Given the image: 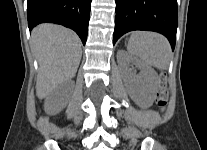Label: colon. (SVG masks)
Segmentation results:
<instances>
[{"instance_id": "colon-1", "label": "colon", "mask_w": 207, "mask_h": 150, "mask_svg": "<svg viewBox=\"0 0 207 150\" xmlns=\"http://www.w3.org/2000/svg\"><path fill=\"white\" fill-rule=\"evenodd\" d=\"M167 103H168V90L166 87V75L161 74L160 88L157 93V104L161 109H163L166 107Z\"/></svg>"}]
</instances>
